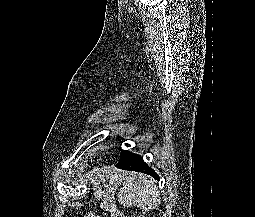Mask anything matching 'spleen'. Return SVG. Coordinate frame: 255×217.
Instances as JSON below:
<instances>
[{
  "instance_id": "3e777b00",
  "label": "spleen",
  "mask_w": 255,
  "mask_h": 217,
  "mask_svg": "<svg viewBox=\"0 0 255 217\" xmlns=\"http://www.w3.org/2000/svg\"><path fill=\"white\" fill-rule=\"evenodd\" d=\"M113 180L122 182L119 190V202L126 207L135 206L143 210L156 208L160 202L157 185L148 177L137 173H111Z\"/></svg>"
}]
</instances>
